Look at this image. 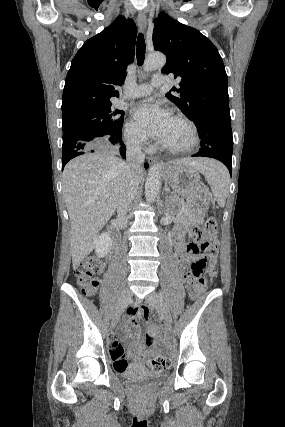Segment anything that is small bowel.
Returning a JSON list of instances; mask_svg holds the SVG:
<instances>
[{"instance_id": "small-bowel-1", "label": "small bowel", "mask_w": 285, "mask_h": 427, "mask_svg": "<svg viewBox=\"0 0 285 427\" xmlns=\"http://www.w3.org/2000/svg\"><path fill=\"white\" fill-rule=\"evenodd\" d=\"M186 230H187V227L178 226L171 233L172 243L176 251V259L181 264H184L186 260L185 248H184V234ZM124 323L126 326L133 327L137 334L140 333V329L138 327V322L135 314L129 313L125 315ZM151 334H154V333L151 331ZM123 341L132 342L133 347L130 352L126 353L123 350L122 343L119 340L113 339V340H110L109 342L110 348H111V359H112L114 368L117 370L122 369L119 367V364L127 361L128 359L136 363H141L146 359H148L149 356L151 355L149 351L144 349L142 343L139 340H131V337L127 336L123 338Z\"/></svg>"}]
</instances>
